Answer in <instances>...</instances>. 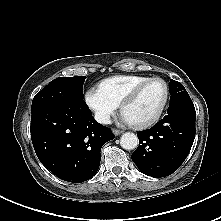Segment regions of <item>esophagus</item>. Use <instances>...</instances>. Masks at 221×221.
Here are the masks:
<instances>
[{
    "label": "esophagus",
    "mask_w": 221,
    "mask_h": 221,
    "mask_svg": "<svg viewBox=\"0 0 221 221\" xmlns=\"http://www.w3.org/2000/svg\"><path fill=\"white\" fill-rule=\"evenodd\" d=\"M122 132H123V131H121V130L113 129V133H114L115 136L120 135Z\"/></svg>",
    "instance_id": "obj_1"
}]
</instances>
